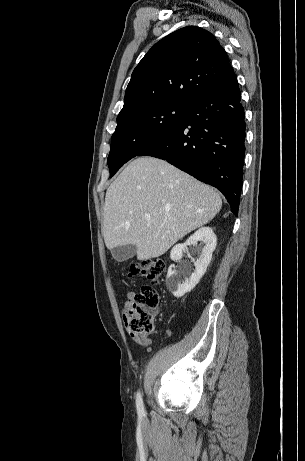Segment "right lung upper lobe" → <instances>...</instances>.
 I'll use <instances>...</instances> for the list:
<instances>
[{
  "label": "right lung upper lobe",
  "instance_id": "right-lung-upper-lobe-1",
  "mask_svg": "<svg viewBox=\"0 0 305 461\" xmlns=\"http://www.w3.org/2000/svg\"><path fill=\"white\" fill-rule=\"evenodd\" d=\"M234 75L210 32L181 28L156 43L134 69L117 120L161 103L189 104Z\"/></svg>",
  "mask_w": 305,
  "mask_h": 461
}]
</instances>
